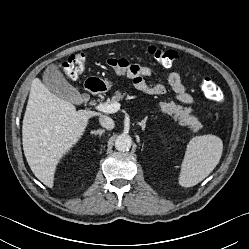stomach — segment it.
<instances>
[{
	"mask_svg": "<svg viewBox=\"0 0 249 249\" xmlns=\"http://www.w3.org/2000/svg\"><path fill=\"white\" fill-rule=\"evenodd\" d=\"M99 80L103 87V90H109L113 86V83L111 81H108L107 79L100 78Z\"/></svg>",
	"mask_w": 249,
	"mask_h": 249,
	"instance_id": "0dacf381",
	"label": "stomach"
}]
</instances>
